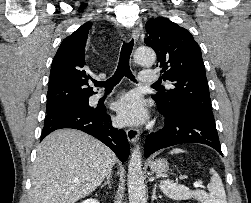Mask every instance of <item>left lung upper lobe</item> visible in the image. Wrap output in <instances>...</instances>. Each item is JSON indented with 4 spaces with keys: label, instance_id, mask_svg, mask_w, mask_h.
Instances as JSON below:
<instances>
[{
    "label": "left lung upper lobe",
    "instance_id": "1",
    "mask_svg": "<svg viewBox=\"0 0 251 203\" xmlns=\"http://www.w3.org/2000/svg\"><path fill=\"white\" fill-rule=\"evenodd\" d=\"M145 44L157 54L163 80L172 85L152 98L169 114L195 108L213 115L201 49L191 33L166 18L147 21Z\"/></svg>",
    "mask_w": 251,
    "mask_h": 203
}]
</instances>
